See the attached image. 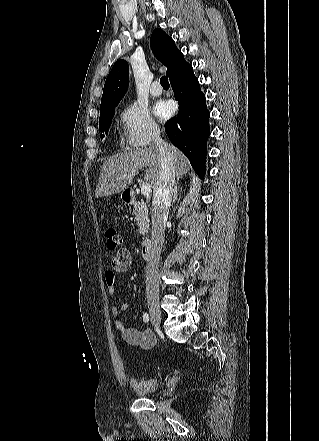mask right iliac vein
<instances>
[{
    "label": "right iliac vein",
    "mask_w": 319,
    "mask_h": 441,
    "mask_svg": "<svg viewBox=\"0 0 319 441\" xmlns=\"http://www.w3.org/2000/svg\"><path fill=\"white\" fill-rule=\"evenodd\" d=\"M148 308H149L151 320L153 321L156 327H160L161 311L158 302L155 300L148 301Z\"/></svg>",
    "instance_id": "63e3f726"
}]
</instances>
